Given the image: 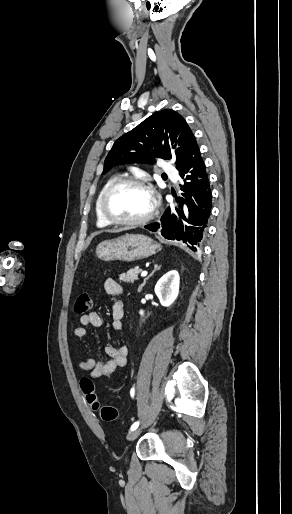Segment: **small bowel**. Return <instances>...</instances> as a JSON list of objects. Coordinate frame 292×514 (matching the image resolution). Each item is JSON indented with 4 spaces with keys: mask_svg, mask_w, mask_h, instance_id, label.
I'll list each match as a JSON object with an SVG mask.
<instances>
[{
    "mask_svg": "<svg viewBox=\"0 0 292 514\" xmlns=\"http://www.w3.org/2000/svg\"><path fill=\"white\" fill-rule=\"evenodd\" d=\"M104 289L107 294L116 296L122 293L121 285L114 278H107L104 281ZM125 313L124 304L120 301L112 305V329L119 332L124 328L123 317ZM82 326L73 329V336L78 339H87L89 332L84 326L99 328L103 325L102 317L98 312H90L80 317ZM106 354L109 359L106 361L96 360L90 357L78 362V368L81 371L88 372L91 379L111 378L114 373L126 365L128 356V347L126 345H110L106 347Z\"/></svg>",
    "mask_w": 292,
    "mask_h": 514,
    "instance_id": "c3829d8e",
    "label": "small bowel"
}]
</instances>
